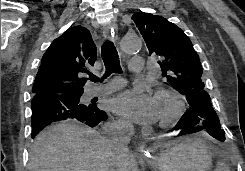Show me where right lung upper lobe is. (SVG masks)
<instances>
[{"label": "right lung upper lobe", "instance_id": "right-lung-upper-lobe-1", "mask_svg": "<svg viewBox=\"0 0 245 171\" xmlns=\"http://www.w3.org/2000/svg\"><path fill=\"white\" fill-rule=\"evenodd\" d=\"M96 45L88 29L74 26L56 38L42 57L32 93L83 92L81 75L94 66Z\"/></svg>", "mask_w": 245, "mask_h": 171}]
</instances>
